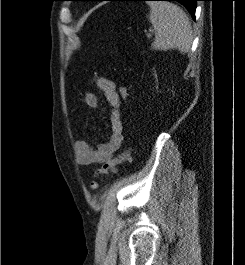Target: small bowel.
Here are the masks:
<instances>
[{
    "mask_svg": "<svg viewBox=\"0 0 245 265\" xmlns=\"http://www.w3.org/2000/svg\"><path fill=\"white\" fill-rule=\"evenodd\" d=\"M96 85L111 106L109 114L111 134L107 142L101 143L96 147L92 146L86 139L76 141L75 154L78 163L82 166L102 164L109 161L113 154L121 147L124 138L121 95L117 90L116 84L108 78L98 77ZM84 102L91 108H98L100 106L99 97L91 92L85 93Z\"/></svg>",
    "mask_w": 245,
    "mask_h": 265,
    "instance_id": "c3829d8e",
    "label": "small bowel"
}]
</instances>
